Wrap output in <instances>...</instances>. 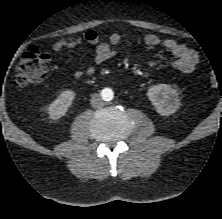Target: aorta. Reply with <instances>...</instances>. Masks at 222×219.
Listing matches in <instances>:
<instances>
[{"label":"aorta","instance_id":"1","mask_svg":"<svg viewBox=\"0 0 222 219\" xmlns=\"http://www.w3.org/2000/svg\"><path fill=\"white\" fill-rule=\"evenodd\" d=\"M104 93H105L104 99H105L106 101L112 100V98H113V92H112L111 89H105V90H104Z\"/></svg>","mask_w":222,"mask_h":219}]
</instances>
